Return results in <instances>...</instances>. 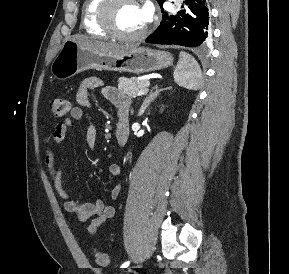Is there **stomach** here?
Masks as SVG:
<instances>
[{"instance_id": "1", "label": "stomach", "mask_w": 289, "mask_h": 274, "mask_svg": "<svg viewBox=\"0 0 289 274\" xmlns=\"http://www.w3.org/2000/svg\"><path fill=\"white\" fill-rule=\"evenodd\" d=\"M172 63V55L165 51L139 47L123 54H106L67 40L52 62L51 73L58 80L69 79L89 69L141 74L167 68Z\"/></svg>"}]
</instances>
